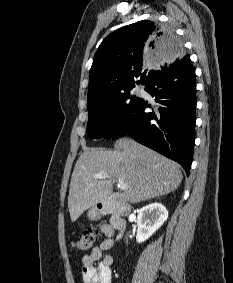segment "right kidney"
I'll return each instance as SVG.
<instances>
[{
  "label": "right kidney",
  "instance_id": "obj_1",
  "mask_svg": "<svg viewBox=\"0 0 233 283\" xmlns=\"http://www.w3.org/2000/svg\"><path fill=\"white\" fill-rule=\"evenodd\" d=\"M168 218L167 209L160 203H152L139 210L136 241L144 242L158 230ZM121 238V234L117 236Z\"/></svg>",
  "mask_w": 233,
  "mask_h": 283
}]
</instances>
